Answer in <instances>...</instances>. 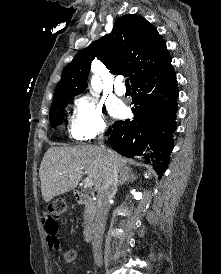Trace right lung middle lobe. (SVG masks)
I'll return each instance as SVG.
<instances>
[{"label": "right lung middle lobe", "instance_id": "obj_1", "mask_svg": "<svg viewBox=\"0 0 221 274\" xmlns=\"http://www.w3.org/2000/svg\"><path fill=\"white\" fill-rule=\"evenodd\" d=\"M73 97L74 96H62L53 99L49 118L54 128L62 123L64 117V109Z\"/></svg>", "mask_w": 221, "mask_h": 274}]
</instances>
